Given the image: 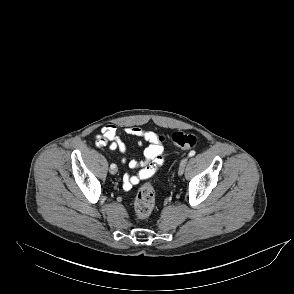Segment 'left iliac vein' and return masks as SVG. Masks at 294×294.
<instances>
[{"instance_id":"left-iliac-vein-1","label":"left iliac vein","mask_w":294,"mask_h":294,"mask_svg":"<svg viewBox=\"0 0 294 294\" xmlns=\"http://www.w3.org/2000/svg\"><path fill=\"white\" fill-rule=\"evenodd\" d=\"M188 158H184L181 160L179 169H178V175H182L184 173L185 165L187 163Z\"/></svg>"}]
</instances>
